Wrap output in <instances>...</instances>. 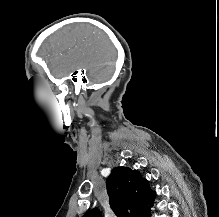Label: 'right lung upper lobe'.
<instances>
[{"label":"right lung upper lobe","mask_w":219,"mask_h":217,"mask_svg":"<svg viewBox=\"0 0 219 217\" xmlns=\"http://www.w3.org/2000/svg\"><path fill=\"white\" fill-rule=\"evenodd\" d=\"M110 205L118 217H150V207L156 196L137 170L114 168L107 180ZM84 217H102L93 209Z\"/></svg>","instance_id":"right-lung-upper-lobe-1"}]
</instances>
